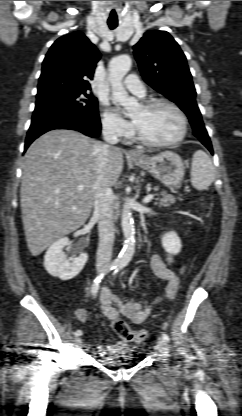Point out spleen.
I'll return each instance as SVG.
<instances>
[{
  "instance_id": "spleen-1",
  "label": "spleen",
  "mask_w": 242,
  "mask_h": 416,
  "mask_svg": "<svg viewBox=\"0 0 242 416\" xmlns=\"http://www.w3.org/2000/svg\"><path fill=\"white\" fill-rule=\"evenodd\" d=\"M215 179V168L211 158L202 150L194 153L191 165V184L198 190L210 186Z\"/></svg>"
}]
</instances>
